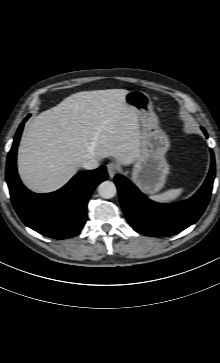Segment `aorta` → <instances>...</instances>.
<instances>
[{
    "instance_id": "762f6f07",
    "label": "aorta",
    "mask_w": 220,
    "mask_h": 363,
    "mask_svg": "<svg viewBox=\"0 0 220 363\" xmlns=\"http://www.w3.org/2000/svg\"><path fill=\"white\" fill-rule=\"evenodd\" d=\"M98 193L102 198H113L117 193V188L112 181L106 180L99 184Z\"/></svg>"
}]
</instances>
